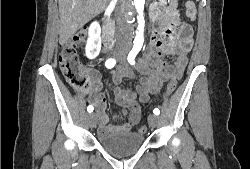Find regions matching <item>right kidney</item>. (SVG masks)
I'll return each instance as SVG.
<instances>
[{
    "label": "right kidney",
    "instance_id": "ca27d5eb",
    "mask_svg": "<svg viewBox=\"0 0 250 169\" xmlns=\"http://www.w3.org/2000/svg\"><path fill=\"white\" fill-rule=\"evenodd\" d=\"M101 26L99 22H91L88 28V40L85 46L87 58H96L101 50Z\"/></svg>",
    "mask_w": 250,
    "mask_h": 169
}]
</instances>
